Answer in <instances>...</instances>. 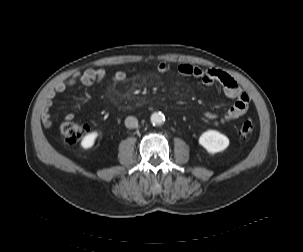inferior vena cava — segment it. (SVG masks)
Wrapping results in <instances>:
<instances>
[{"instance_id":"602c4592","label":"inferior vena cava","mask_w":303,"mask_h":252,"mask_svg":"<svg viewBox=\"0 0 303 252\" xmlns=\"http://www.w3.org/2000/svg\"><path fill=\"white\" fill-rule=\"evenodd\" d=\"M125 126L127 128H135L138 126V120L136 117L134 116H128L126 119H125Z\"/></svg>"}]
</instances>
